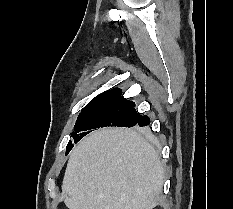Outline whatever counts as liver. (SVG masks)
<instances>
[{"label":"liver","mask_w":233,"mask_h":209,"mask_svg":"<svg viewBox=\"0 0 233 209\" xmlns=\"http://www.w3.org/2000/svg\"><path fill=\"white\" fill-rule=\"evenodd\" d=\"M163 183L160 158L141 134L105 128L71 152L60 201L69 209H153Z\"/></svg>","instance_id":"liver-1"}]
</instances>
